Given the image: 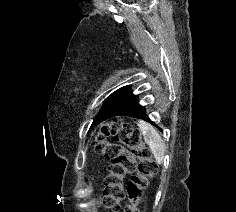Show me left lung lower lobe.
<instances>
[{"label": "left lung lower lobe", "mask_w": 236, "mask_h": 212, "mask_svg": "<svg viewBox=\"0 0 236 212\" xmlns=\"http://www.w3.org/2000/svg\"><path fill=\"white\" fill-rule=\"evenodd\" d=\"M120 115L143 119L155 125L149 119L144 106H141L139 104L137 95H134L132 93L129 86H125L120 89L115 98L110 102V104L100 115L99 123L109 118H114L115 116Z\"/></svg>", "instance_id": "0a47b994"}]
</instances>
